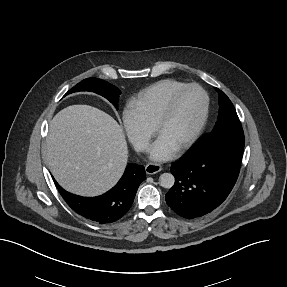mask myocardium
Returning a JSON list of instances; mask_svg holds the SVG:
<instances>
[{"label": "myocardium", "mask_w": 287, "mask_h": 287, "mask_svg": "<svg viewBox=\"0 0 287 287\" xmlns=\"http://www.w3.org/2000/svg\"><path fill=\"white\" fill-rule=\"evenodd\" d=\"M190 89H196L202 94V96H203L202 112H201L200 119H199L197 125L195 126V128L193 129V131L184 140V142L182 144H180L178 147H176L174 149L175 152H182V151L186 150L187 148H189L196 141V139L200 136V134L202 133V131L206 125V122L208 119V113H209V97H208L206 91L201 86H199L197 84H186L183 87L176 90L167 100V102H166L162 112L160 113V115H159V117H158V119L154 125V128H153L154 135L156 137H158L160 130L165 125V123L167 122V120L169 119V117L173 111V107H174L176 100L178 99V97L180 95H182L184 92H186Z\"/></svg>", "instance_id": "1"}]
</instances>
